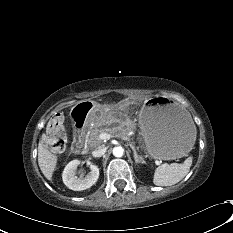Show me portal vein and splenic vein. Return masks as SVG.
I'll list each match as a JSON object with an SVG mask.
<instances>
[{
    "mask_svg": "<svg viewBox=\"0 0 233 233\" xmlns=\"http://www.w3.org/2000/svg\"><path fill=\"white\" fill-rule=\"evenodd\" d=\"M111 137L112 136L110 134H108V133H101L100 134V139L104 140V141L109 140Z\"/></svg>",
    "mask_w": 233,
    "mask_h": 233,
    "instance_id": "18ae733b",
    "label": "portal vein and splenic vein"
}]
</instances>
